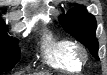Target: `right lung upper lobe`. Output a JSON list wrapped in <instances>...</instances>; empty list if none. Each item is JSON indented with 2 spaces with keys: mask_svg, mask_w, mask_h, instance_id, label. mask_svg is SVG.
<instances>
[{
  "mask_svg": "<svg viewBox=\"0 0 107 75\" xmlns=\"http://www.w3.org/2000/svg\"><path fill=\"white\" fill-rule=\"evenodd\" d=\"M2 27H6V25L4 24V22L2 20H0V28Z\"/></svg>",
  "mask_w": 107,
  "mask_h": 75,
  "instance_id": "1",
  "label": "right lung upper lobe"
}]
</instances>
